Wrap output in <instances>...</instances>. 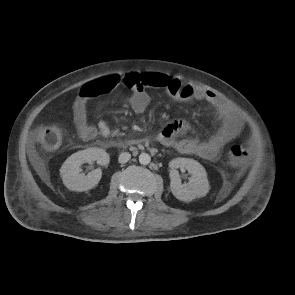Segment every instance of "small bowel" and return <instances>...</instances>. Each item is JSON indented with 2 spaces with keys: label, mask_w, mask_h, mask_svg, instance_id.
Segmentation results:
<instances>
[{
  "label": "small bowel",
  "mask_w": 295,
  "mask_h": 295,
  "mask_svg": "<svg viewBox=\"0 0 295 295\" xmlns=\"http://www.w3.org/2000/svg\"><path fill=\"white\" fill-rule=\"evenodd\" d=\"M122 77L106 76L88 82L80 88L73 105V118L82 139L91 140L98 135L109 138L114 134L105 120H99L97 125H92L88 121V103L91 99L108 93L116 85H123ZM138 78L140 86L130 89L132 93L128 99L132 110L137 114L145 112L150 101L149 90L153 88H164L173 99L185 103L194 99L206 101L215 111L219 127L209 138L205 140L179 138V135L189 126L183 120L174 119L165 123L157 135V140L162 145L175 148L183 154H193L206 160H214L219 157L226 143L240 133L242 128L240 115L214 92L159 72H148Z\"/></svg>",
  "instance_id": "c3829d8e"
}]
</instances>
